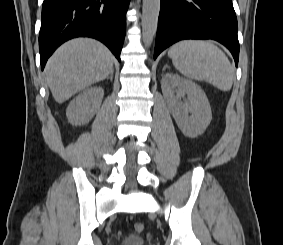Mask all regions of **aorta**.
Here are the masks:
<instances>
[{
    "mask_svg": "<svg viewBox=\"0 0 283 245\" xmlns=\"http://www.w3.org/2000/svg\"><path fill=\"white\" fill-rule=\"evenodd\" d=\"M160 0H143L142 36L145 46L149 47L157 31Z\"/></svg>",
    "mask_w": 283,
    "mask_h": 245,
    "instance_id": "obj_1",
    "label": "aorta"
}]
</instances>
